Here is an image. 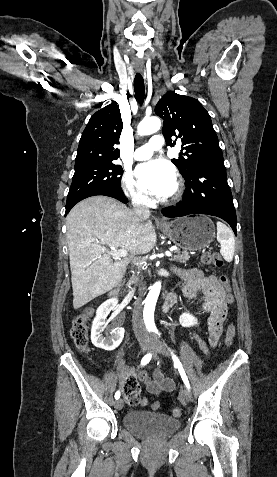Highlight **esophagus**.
I'll list each match as a JSON object with an SVG mask.
<instances>
[{
  "label": "esophagus",
  "instance_id": "1",
  "mask_svg": "<svg viewBox=\"0 0 277 477\" xmlns=\"http://www.w3.org/2000/svg\"><path fill=\"white\" fill-rule=\"evenodd\" d=\"M164 221L163 220H158V223H163Z\"/></svg>",
  "mask_w": 277,
  "mask_h": 477
}]
</instances>
